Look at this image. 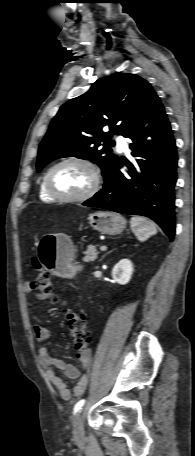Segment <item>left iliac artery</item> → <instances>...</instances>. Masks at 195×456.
<instances>
[{
  "instance_id": "1",
  "label": "left iliac artery",
  "mask_w": 195,
  "mask_h": 456,
  "mask_svg": "<svg viewBox=\"0 0 195 456\" xmlns=\"http://www.w3.org/2000/svg\"><path fill=\"white\" fill-rule=\"evenodd\" d=\"M84 403H85L84 399H82L76 403V405L74 407V414H76L77 412H79L82 409V406L84 405Z\"/></svg>"
}]
</instances>
